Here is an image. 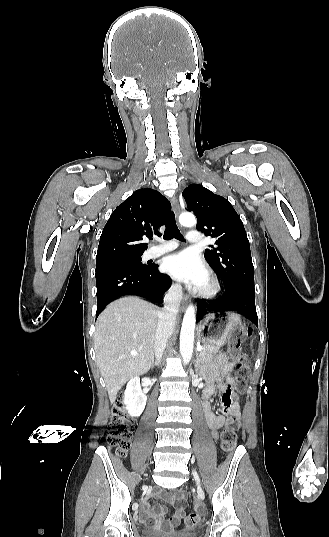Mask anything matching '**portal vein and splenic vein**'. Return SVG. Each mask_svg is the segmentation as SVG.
Masks as SVG:
<instances>
[{"label":"portal vein and splenic vein","instance_id":"portal-vein-and-splenic-vein-1","mask_svg":"<svg viewBox=\"0 0 329 537\" xmlns=\"http://www.w3.org/2000/svg\"><path fill=\"white\" fill-rule=\"evenodd\" d=\"M202 349H203V348H202L201 346H197V350H198V351H201ZM131 354H132L133 356H136V355H137L136 352H132Z\"/></svg>","mask_w":329,"mask_h":537}]
</instances>
